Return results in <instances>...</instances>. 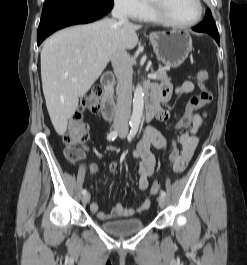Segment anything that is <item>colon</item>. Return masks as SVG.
<instances>
[{"mask_svg":"<svg viewBox=\"0 0 247 265\" xmlns=\"http://www.w3.org/2000/svg\"><path fill=\"white\" fill-rule=\"evenodd\" d=\"M208 80V72L206 70H200L197 73V81L200 88V93L192 97L188 103L187 109L183 116L180 118L176 125V131H180L190 126L194 113L198 108L211 102L213 95L207 88L206 81ZM102 92L100 88L95 87L91 89L82 99L79 110L71 117L66 133L63 137L64 142V155L66 159L71 163L80 161L83 157V151L81 145L89 137V128L84 121L83 113L91 112L95 113L101 106ZM179 149L176 144L169 154V167L174 169V166L179 157ZM161 180L157 179L152 184L150 193L155 195L161 189Z\"/></svg>","mask_w":247,"mask_h":265,"instance_id":"5ec220e1","label":"colon"}]
</instances>
